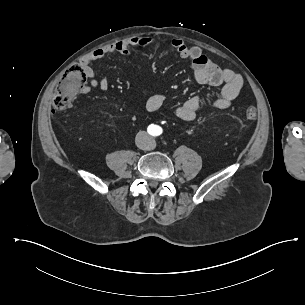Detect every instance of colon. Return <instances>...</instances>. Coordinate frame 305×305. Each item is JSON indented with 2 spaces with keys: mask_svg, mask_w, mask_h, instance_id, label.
Instances as JSON below:
<instances>
[{
  "mask_svg": "<svg viewBox=\"0 0 305 305\" xmlns=\"http://www.w3.org/2000/svg\"><path fill=\"white\" fill-rule=\"evenodd\" d=\"M85 80V73L78 66H70L65 69L61 79L57 84V94L53 98L52 107L56 109H65L70 102L75 100L78 95V90L81 88ZM247 118H254L256 111L253 107L245 110Z\"/></svg>",
  "mask_w": 305,
  "mask_h": 305,
  "instance_id": "obj_1",
  "label": "colon"
}]
</instances>
